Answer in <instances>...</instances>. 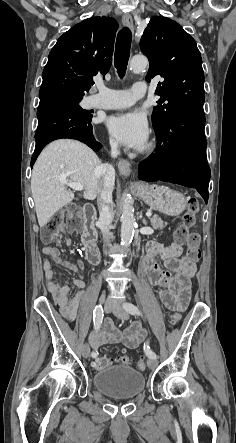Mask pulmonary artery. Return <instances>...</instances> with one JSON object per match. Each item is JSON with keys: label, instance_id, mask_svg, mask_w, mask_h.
Returning a JSON list of instances; mask_svg holds the SVG:
<instances>
[{"label": "pulmonary artery", "instance_id": "1", "mask_svg": "<svg viewBox=\"0 0 236 443\" xmlns=\"http://www.w3.org/2000/svg\"><path fill=\"white\" fill-rule=\"evenodd\" d=\"M97 93L89 96L86 101L88 108L118 109L131 106L145 95L147 87L144 82H136L128 90H113L105 87L102 83L96 84ZM112 96L111 100H101L100 96Z\"/></svg>", "mask_w": 236, "mask_h": 443}]
</instances>
